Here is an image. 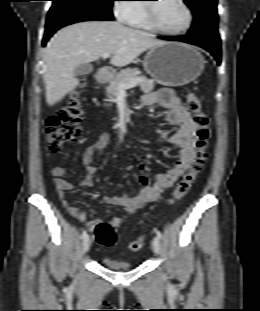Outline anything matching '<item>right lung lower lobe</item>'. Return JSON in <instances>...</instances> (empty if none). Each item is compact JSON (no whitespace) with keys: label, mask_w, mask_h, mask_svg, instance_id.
<instances>
[{"label":"right lung lower lobe","mask_w":260,"mask_h":311,"mask_svg":"<svg viewBox=\"0 0 260 311\" xmlns=\"http://www.w3.org/2000/svg\"><path fill=\"white\" fill-rule=\"evenodd\" d=\"M94 20H113V18L99 14L77 10L66 6H60L58 9L51 8L46 20L45 36L42 45L45 46L49 38L60 28L82 21Z\"/></svg>","instance_id":"obj_1"}]
</instances>
